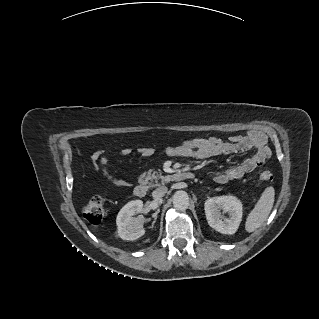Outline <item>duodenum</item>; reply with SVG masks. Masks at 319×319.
Returning a JSON list of instances; mask_svg holds the SVG:
<instances>
[{"instance_id":"obj_1","label":"duodenum","mask_w":319,"mask_h":319,"mask_svg":"<svg viewBox=\"0 0 319 319\" xmlns=\"http://www.w3.org/2000/svg\"><path fill=\"white\" fill-rule=\"evenodd\" d=\"M193 177H194V173L190 171H178L172 175V179L174 181L192 179ZM133 193L138 198H144L147 195L146 185L142 183L137 184L133 189Z\"/></svg>"}]
</instances>
